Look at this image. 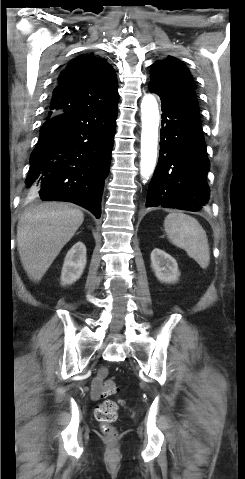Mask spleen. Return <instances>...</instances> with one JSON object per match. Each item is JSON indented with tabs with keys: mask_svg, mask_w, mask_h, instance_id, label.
Masks as SVG:
<instances>
[{
	"mask_svg": "<svg viewBox=\"0 0 245 479\" xmlns=\"http://www.w3.org/2000/svg\"><path fill=\"white\" fill-rule=\"evenodd\" d=\"M164 228L172 244L184 249L201 268L208 267L210 262L208 238L195 218L181 212H172L166 216Z\"/></svg>",
	"mask_w": 245,
	"mask_h": 479,
	"instance_id": "3e777b00",
	"label": "spleen"
}]
</instances>
